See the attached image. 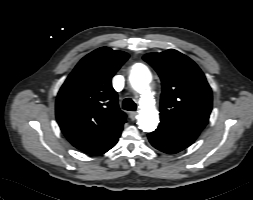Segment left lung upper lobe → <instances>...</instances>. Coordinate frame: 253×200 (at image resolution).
Returning <instances> with one entry per match:
<instances>
[{"label": "left lung upper lobe", "instance_id": "1", "mask_svg": "<svg viewBox=\"0 0 253 200\" xmlns=\"http://www.w3.org/2000/svg\"><path fill=\"white\" fill-rule=\"evenodd\" d=\"M143 59L162 82L160 120L201 132L212 110V91L200 68L174 49L148 53Z\"/></svg>", "mask_w": 253, "mask_h": 200}]
</instances>
